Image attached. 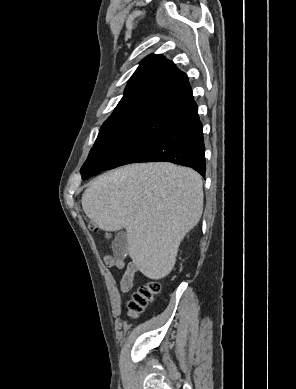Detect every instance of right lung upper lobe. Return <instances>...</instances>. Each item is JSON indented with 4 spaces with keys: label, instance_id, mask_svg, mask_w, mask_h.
<instances>
[{
    "label": "right lung upper lobe",
    "instance_id": "cb5924a9",
    "mask_svg": "<svg viewBox=\"0 0 296 389\" xmlns=\"http://www.w3.org/2000/svg\"><path fill=\"white\" fill-rule=\"evenodd\" d=\"M197 109L187 76L172 61L150 55L132 75L108 119L158 114L178 120Z\"/></svg>",
    "mask_w": 296,
    "mask_h": 389
}]
</instances>
